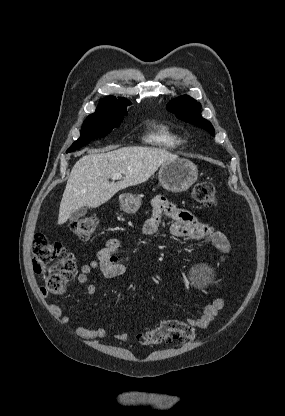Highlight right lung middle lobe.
Instances as JSON below:
<instances>
[{
  "label": "right lung middle lobe",
  "mask_w": 285,
  "mask_h": 416,
  "mask_svg": "<svg viewBox=\"0 0 285 416\" xmlns=\"http://www.w3.org/2000/svg\"><path fill=\"white\" fill-rule=\"evenodd\" d=\"M127 114L126 109L96 110L95 113L86 118L82 126L80 137L70 146L67 153L87 145L93 139L105 137L113 130V128L120 125L124 116Z\"/></svg>",
  "instance_id": "dd1d6c3e"
}]
</instances>
